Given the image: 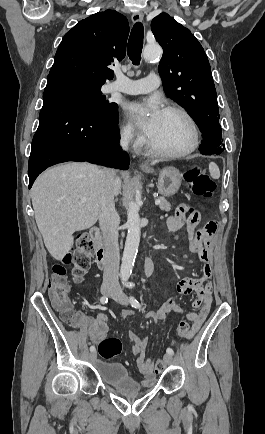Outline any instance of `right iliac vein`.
Here are the masks:
<instances>
[{
    "instance_id": "obj_1",
    "label": "right iliac vein",
    "mask_w": 265,
    "mask_h": 434,
    "mask_svg": "<svg viewBox=\"0 0 265 434\" xmlns=\"http://www.w3.org/2000/svg\"><path fill=\"white\" fill-rule=\"evenodd\" d=\"M113 291H114V289L108 285L101 287V293L105 296H109ZM96 357H97L96 351H92L91 353H89V360L90 361H94L96 359Z\"/></svg>"
}]
</instances>
